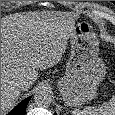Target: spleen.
<instances>
[{
    "mask_svg": "<svg viewBox=\"0 0 115 115\" xmlns=\"http://www.w3.org/2000/svg\"><path fill=\"white\" fill-rule=\"evenodd\" d=\"M72 115H115V96L109 102L98 107H86L83 110L75 109Z\"/></svg>",
    "mask_w": 115,
    "mask_h": 115,
    "instance_id": "1",
    "label": "spleen"
}]
</instances>
